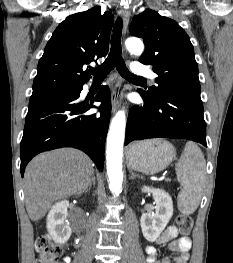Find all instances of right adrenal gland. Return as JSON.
Returning <instances> with one entry per match:
<instances>
[{
    "mask_svg": "<svg viewBox=\"0 0 233 263\" xmlns=\"http://www.w3.org/2000/svg\"><path fill=\"white\" fill-rule=\"evenodd\" d=\"M92 185L95 186V176H93V178H92V183H91V184L89 185V187L86 189V192L90 191Z\"/></svg>",
    "mask_w": 233,
    "mask_h": 263,
    "instance_id": "right-adrenal-gland-1",
    "label": "right adrenal gland"
}]
</instances>
